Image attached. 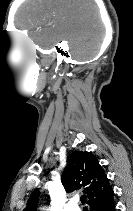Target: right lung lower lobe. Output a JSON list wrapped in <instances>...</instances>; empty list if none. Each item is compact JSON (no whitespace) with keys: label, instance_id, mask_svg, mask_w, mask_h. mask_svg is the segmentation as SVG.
Returning <instances> with one entry per match:
<instances>
[{"label":"right lung lower lobe","instance_id":"obj_1","mask_svg":"<svg viewBox=\"0 0 133 211\" xmlns=\"http://www.w3.org/2000/svg\"><path fill=\"white\" fill-rule=\"evenodd\" d=\"M91 211H116L115 203L112 199L109 202L98 204L90 209Z\"/></svg>","mask_w":133,"mask_h":211}]
</instances>
